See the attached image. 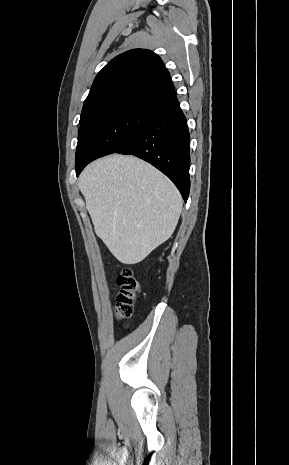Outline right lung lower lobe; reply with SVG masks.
<instances>
[{
  "label": "right lung lower lobe",
  "instance_id": "right-lung-lower-lobe-1",
  "mask_svg": "<svg viewBox=\"0 0 289 465\" xmlns=\"http://www.w3.org/2000/svg\"><path fill=\"white\" fill-rule=\"evenodd\" d=\"M190 135L186 118L176 97L164 102L161 111L115 153L137 156L163 172L179 189L184 201L189 196ZM94 159L76 165L77 176Z\"/></svg>",
  "mask_w": 289,
  "mask_h": 465
}]
</instances>
